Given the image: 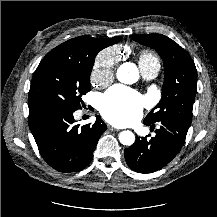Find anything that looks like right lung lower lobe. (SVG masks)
Masks as SVG:
<instances>
[{
    "mask_svg": "<svg viewBox=\"0 0 217 217\" xmlns=\"http://www.w3.org/2000/svg\"><path fill=\"white\" fill-rule=\"evenodd\" d=\"M74 111L45 110L29 114V127L44 160L63 173L83 170L92 160L107 126L97 116L93 125H75Z\"/></svg>",
    "mask_w": 217,
    "mask_h": 217,
    "instance_id": "1",
    "label": "right lung lower lobe"
}]
</instances>
